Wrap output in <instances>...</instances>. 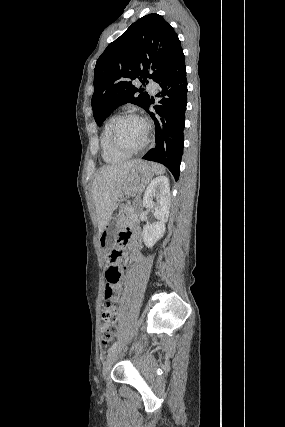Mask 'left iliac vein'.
Listing matches in <instances>:
<instances>
[{"label":"left iliac vein","instance_id":"left-iliac-vein-1","mask_svg":"<svg viewBox=\"0 0 285 427\" xmlns=\"http://www.w3.org/2000/svg\"><path fill=\"white\" fill-rule=\"evenodd\" d=\"M123 346L119 345L117 346L111 353H109L106 361L103 364V377L106 378L108 373L110 372V369L115 362L116 358L122 351Z\"/></svg>","mask_w":285,"mask_h":427}]
</instances>
